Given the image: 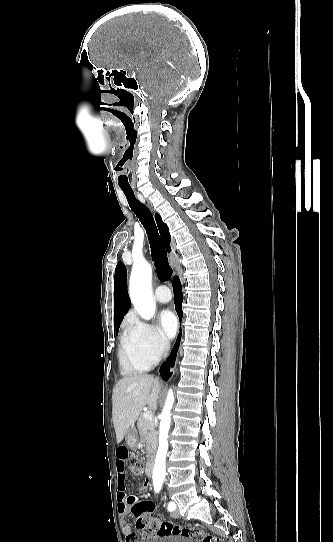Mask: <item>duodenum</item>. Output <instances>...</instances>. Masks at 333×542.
Instances as JSON below:
<instances>
[{
	"instance_id": "duodenum-1",
	"label": "duodenum",
	"mask_w": 333,
	"mask_h": 542,
	"mask_svg": "<svg viewBox=\"0 0 333 542\" xmlns=\"http://www.w3.org/2000/svg\"><path fill=\"white\" fill-rule=\"evenodd\" d=\"M153 469H154V463L152 460H149L146 463L145 472L148 477H152L153 475Z\"/></svg>"
}]
</instances>
